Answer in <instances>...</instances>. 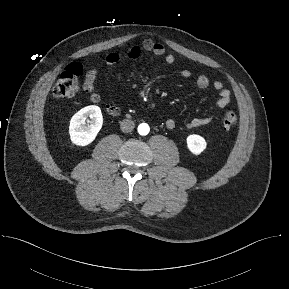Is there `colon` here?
I'll list each match as a JSON object with an SVG mask.
<instances>
[{
    "label": "colon",
    "instance_id": "colon-1",
    "mask_svg": "<svg viewBox=\"0 0 289 289\" xmlns=\"http://www.w3.org/2000/svg\"><path fill=\"white\" fill-rule=\"evenodd\" d=\"M83 68L80 64L74 63L66 67L60 74L54 88L53 94L56 97H73L79 91V77ZM223 126L226 129L233 127L237 122V115L233 111H227L223 116Z\"/></svg>",
    "mask_w": 289,
    "mask_h": 289
}]
</instances>
